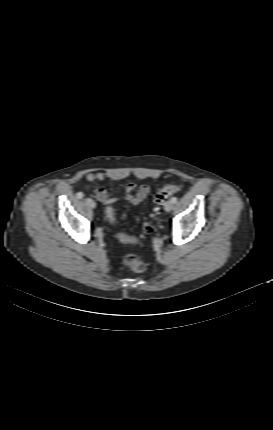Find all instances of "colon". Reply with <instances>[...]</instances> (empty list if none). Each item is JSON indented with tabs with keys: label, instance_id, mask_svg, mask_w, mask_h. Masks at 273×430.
<instances>
[{
	"label": "colon",
	"instance_id": "1",
	"mask_svg": "<svg viewBox=\"0 0 273 430\" xmlns=\"http://www.w3.org/2000/svg\"><path fill=\"white\" fill-rule=\"evenodd\" d=\"M178 186L177 185H168L163 187L162 189H160L153 197V203H154V212L158 213L159 212V206L163 205L165 203V201L170 198L172 195H174L177 191H178ZM106 216L107 218L111 221L114 222L115 219V212H114V208L113 207H108L106 208ZM154 231V227L149 224L146 223L143 227V234H150ZM140 235L139 237H130L131 241H137L139 240L142 236ZM124 234H119V238H121ZM124 263L133 271H137V272H141L145 269V264L144 262L141 260V258L137 255V253L130 247L128 249V251L125 253L124 255Z\"/></svg>",
	"mask_w": 273,
	"mask_h": 430
}]
</instances>
